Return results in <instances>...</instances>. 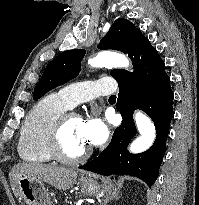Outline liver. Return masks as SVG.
Instances as JSON below:
<instances>
[{"label":"liver","mask_w":199,"mask_h":205,"mask_svg":"<svg viewBox=\"0 0 199 205\" xmlns=\"http://www.w3.org/2000/svg\"><path fill=\"white\" fill-rule=\"evenodd\" d=\"M78 171L58 166L37 163H19L9 173L10 185L15 197L19 196L17 180L20 176L36 178L60 190L70 189L76 181Z\"/></svg>","instance_id":"obj_1"}]
</instances>
